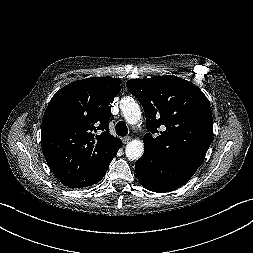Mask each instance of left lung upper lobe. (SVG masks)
Returning <instances> with one entry per match:
<instances>
[{
    "instance_id": "left-lung-upper-lobe-1",
    "label": "left lung upper lobe",
    "mask_w": 253,
    "mask_h": 253,
    "mask_svg": "<svg viewBox=\"0 0 253 253\" xmlns=\"http://www.w3.org/2000/svg\"><path fill=\"white\" fill-rule=\"evenodd\" d=\"M126 85L145 110V150L167 165L200 166L213 139L212 112L204 93L172 75L132 79Z\"/></svg>"
}]
</instances>
